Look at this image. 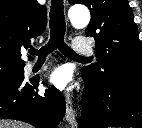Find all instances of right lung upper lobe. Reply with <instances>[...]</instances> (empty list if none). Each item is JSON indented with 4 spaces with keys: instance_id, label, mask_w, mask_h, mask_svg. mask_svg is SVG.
Here are the masks:
<instances>
[{
    "instance_id": "1",
    "label": "right lung upper lobe",
    "mask_w": 142,
    "mask_h": 128,
    "mask_svg": "<svg viewBox=\"0 0 142 128\" xmlns=\"http://www.w3.org/2000/svg\"><path fill=\"white\" fill-rule=\"evenodd\" d=\"M47 10L36 0H0V70L24 68L22 48L41 35Z\"/></svg>"
}]
</instances>
